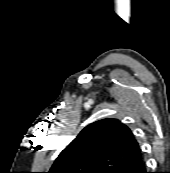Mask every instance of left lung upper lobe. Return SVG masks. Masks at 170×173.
I'll list each match as a JSON object with an SVG mask.
<instances>
[{
	"label": "left lung upper lobe",
	"mask_w": 170,
	"mask_h": 173,
	"mask_svg": "<svg viewBox=\"0 0 170 173\" xmlns=\"http://www.w3.org/2000/svg\"><path fill=\"white\" fill-rule=\"evenodd\" d=\"M140 156L131 130L117 119H103L86 126L48 173H116Z\"/></svg>",
	"instance_id": "obj_1"
}]
</instances>
